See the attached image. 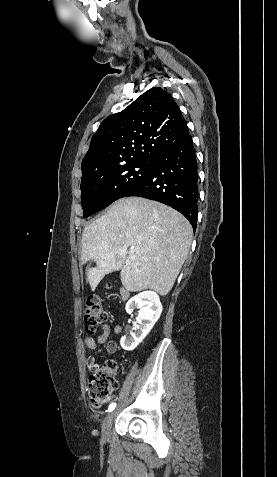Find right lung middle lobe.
Wrapping results in <instances>:
<instances>
[{
	"label": "right lung middle lobe",
	"instance_id": "dd1d6c3e",
	"mask_svg": "<svg viewBox=\"0 0 277 477\" xmlns=\"http://www.w3.org/2000/svg\"><path fill=\"white\" fill-rule=\"evenodd\" d=\"M151 168V161H134L82 171L81 203L84 218L124 197L145 178Z\"/></svg>",
	"mask_w": 277,
	"mask_h": 477
}]
</instances>
